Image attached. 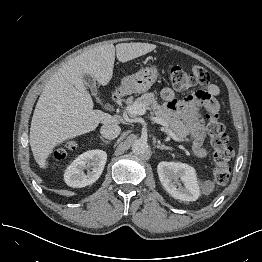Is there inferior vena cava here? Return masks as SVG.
Wrapping results in <instances>:
<instances>
[{
  "mask_svg": "<svg viewBox=\"0 0 262 262\" xmlns=\"http://www.w3.org/2000/svg\"><path fill=\"white\" fill-rule=\"evenodd\" d=\"M121 128L116 123L104 124L101 129V135L106 139H115L120 134Z\"/></svg>",
  "mask_w": 262,
  "mask_h": 262,
  "instance_id": "1",
  "label": "inferior vena cava"
}]
</instances>
